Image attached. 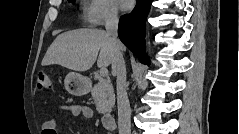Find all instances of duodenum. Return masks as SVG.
Masks as SVG:
<instances>
[{
	"mask_svg": "<svg viewBox=\"0 0 239 134\" xmlns=\"http://www.w3.org/2000/svg\"><path fill=\"white\" fill-rule=\"evenodd\" d=\"M104 128L112 131L115 128V116L113 114H106L102 119Z\"/></svg>",
	"mask_w": 239,
	"mask_h": 134,
	"instance_id": "duodenum-1",
	"label": "duodenum"
}]
</instances>
